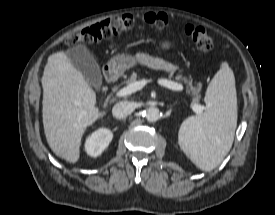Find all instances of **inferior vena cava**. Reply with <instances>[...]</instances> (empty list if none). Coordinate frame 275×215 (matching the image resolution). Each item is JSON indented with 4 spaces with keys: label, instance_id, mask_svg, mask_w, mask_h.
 <instances>
[{
    "label": "inferior vena cava",
    "instance_id": "1",
    "mask_svg": "<svg viewBox=\"0 0 275 215\" xmlns=\"http://www.w3.org/2000/svg\"><path fill=\"white\" fill-rule=\"evenodd\" d=\"M134 111V105L129 101H121L114 105L112 114L117 119H123Z\"/></svg>",
    "mask_w": 275,
    "mask_h": 215
}]
</instances>
